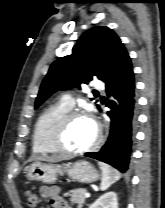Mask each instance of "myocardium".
<instances>
[{"mask_svg":"<svg viewBox=\"0 0 165 208\" xmlns=\"http://www.w3.org/2000/svg\"><path fill=\"white\" fill-rule=\"evenodd\" d=\"M77 117H87L94 123L96 130L95 138L94 141L86 148L69 149L63 144L62 137L68 125L71 123L73 119ZM101 138H102V132L100 127L98 126L92 115L88 111L82 109L69 110L66 113H64L55 123L50 134L51 144L57 150V152L62 154H69V155H83L93 151L99 146L101 142Z\"/></svg>","mask_w":165,"mask_h":208,"instance_id":"myocardium-1","label":"myocardium"}]
</instances>
